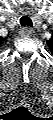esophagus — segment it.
<instances>
[{"mask_svg":"<svg viewBox=\"0 0 53 120\" xmlns=\"http://www.w3.org/2000/svg\"><path fill=\"white\" fill-rule=\"evenodd\" d=\"M20 35L23 37H30L32 35V29L25 27L20 31Z\"/></svg>","mask_w":53,"mask_h":120,"instance_id":"obj_1","label":"esophagus"}]
</instances>
